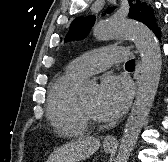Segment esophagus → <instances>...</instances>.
<instances>
[{
	"instance_id": "esophagus-1",
	"label": "esophagus",
	"mask_w": 168,
	"mask_h": 162,
	"mask_svg": "<svg viewBox=\"0 0 168 162\" xmlns=\"http://www.w3.org/2000/svg\"><path fill=\"white\" fill-rule=\"evenodd\" d=\"M140 71H141V64H140V61H138L136 65V73L138 76H139ZM104 143L108 145H114V144H117V139L116 137H113V136H107L104 140Z\"/></svg>"
}]
</instances>
